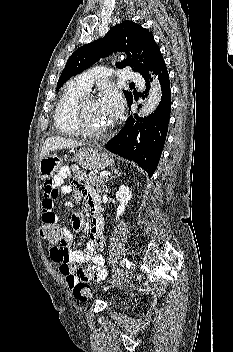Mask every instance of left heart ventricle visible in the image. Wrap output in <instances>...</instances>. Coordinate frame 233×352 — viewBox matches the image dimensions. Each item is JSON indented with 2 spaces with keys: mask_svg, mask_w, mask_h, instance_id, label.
Masks as SVG:
<instances>
[{
  "mask_svg": "<svg viewBox=\"0 0 233 352\" xmlns=\"http://www.w3.org/2000/svg\"><path fill=\"white\" fill-rule=\"evenodd\" d=\"M84 116L86 124L91 128L104 129L109 125L99 109L98 102L96 100H88L85 103Z\"/></svg>",
  "mask_w": 233,
  "mask_h": 352,
  "instance_id": "obj_1",
  "label": "left heart ventricle"
}]
</instances>
